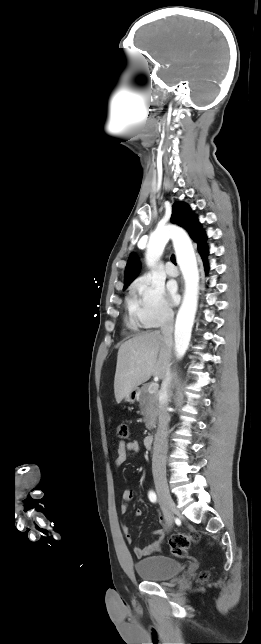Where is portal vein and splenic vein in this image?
Listing matches in <instances>:
<instances>
[{
  "instance_id": "portal-vein-and-splenic-vein-1",
  "label": "portal vein and splenic vein",
  "mask_w": 261,
  "mask_h": 644,
  "mask_svg": "<svg viewBox=\"0 0 261 644\" xmlns=\"http://www.w3.org/2000/svg\"><path fill=\"white\" fill-rule=\"evenodd\" d=\"M159 385L157 383H152L148 387V392L149 393H155L158 390Z\"/></svg>"
}]
</instances>
